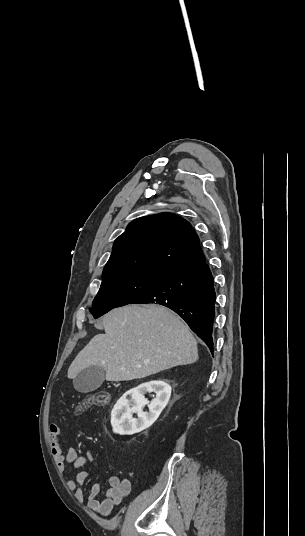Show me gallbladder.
<instances>
[{"label":"gallbladder","mask_w":305,"mask_h":536,"mask_svg":"<svg viewBox=\"0 0 305 536\" xmlns=\"http://www.w3.org/2000/svg\"><path fill=\"white\" fill-rule=\"evenodd\" d=\"M105 380V372L102 366H89L79 372L76 378H73V386L77 392L87 394L100 388Z\"/></svg>","instance_id":"obj_1"}]
</instances>
